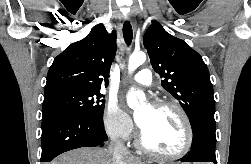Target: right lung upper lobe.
<instances>
[{"instance_id": "cb5924a9", "label": "right lung upper lobe", "mask_w": 251, "mask_h": 164, "mask_svg": "<svg viewBox=\"0 0 251 164\" xmlns=\"http://www.w3.org/2000/svg\"><path fill=\"white\" fill-rule=\"evenodd\" d=\"M115 52L116 32L109 34L102 24H97L84 39L72 43L54 59L45 91L63 87L100 91L109 83Z\"/></svg>"}]
</instances>
